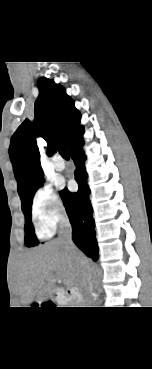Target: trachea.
Listing matches in <instances>:
<instances>
[{"instance_id": "1", "label": "trachea", "mask_w": 152, "mask_h": 369, "mask_svg": "<svg viewBox=\"0 0 152 369\" xmlns=\"http://www.w3.org/2000/svg\"><path fill=\"white\" fill-rule=\"evenodd\" d=\"M59 153L61 154V156L65 159H69V155H68V152H67V149L64 145H61L59 147Z\"/></svg>"}]
</instances>
